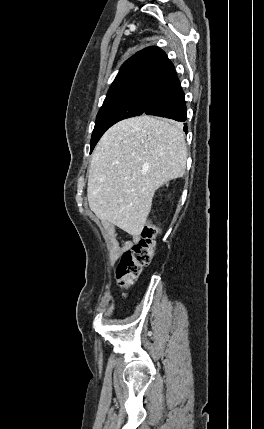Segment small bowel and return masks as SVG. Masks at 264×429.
I'll use <instances>...</instances> for the list:
<instances>
[{"label": "small bowel", "instance_id": "small-bowel-1", "mask_svg": "<svg viewBox=\"0 0 264 429\" xmlns=\"http://www.w3.org/2000/svg\"><path fill=\"white\" fill-rule=\"evenodd\" d=\"M131 239L120 240L115 228L107 227L105 230V241L111 254V259L116 260L120 254L129 250L139 241L137 233L129 232Z\"/></svg>", "mask_w": 264, "mask_h": 429}]
</instances>
